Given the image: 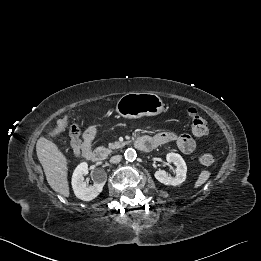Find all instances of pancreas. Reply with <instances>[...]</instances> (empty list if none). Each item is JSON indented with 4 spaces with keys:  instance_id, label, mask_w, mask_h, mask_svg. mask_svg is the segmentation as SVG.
<instances>
[{
    "instance_id": "1",
    "label": "pancreas",
    "mask_w": 261,
    "mask_h": 261,
    "mask_svg": "<svg viewBox=\"0 0 261 261\" xmlns=\"http://www.w3.org/2000/svg\"><path fill=\"white\" fill-rule=\"evenodd\" d=\"M125 144H126L125 142L109 143L108 148H109V150L119 149V148H122Z\"/></svg>"
}]
</instances>
